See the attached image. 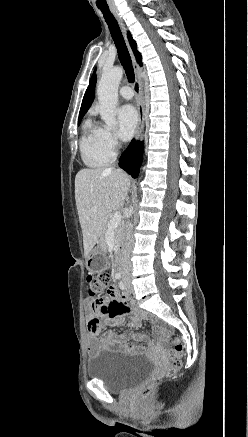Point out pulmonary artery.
I'll return each mask as SVG.
<instances>
[{
    "label": "pulmonary artery",
    "mask_w": 248,
    "mask_h": 437,
    "mask_svg": "<svg viewBox=\"0 0 248 437\" xmlns=\"http://www.w3.org/2000/svg\"><path fill=\"white\" fill-rule=\"evenodd\" d=\"M119 94L121 95V97H123L124 99H131L133 97V91L129 86H122L119 90Z\"/></svg>",
    "instance_id": "pulmonary-artery-1"
}]
</instances>
